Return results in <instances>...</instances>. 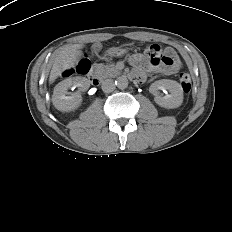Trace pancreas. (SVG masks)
I'll return each instance as SVG.
<instances>
[{"instance_id":"cf45deb5","label":"pancreas","mask_w":232,"mask_h":232,"mask_svg":"<svg viewBox=\"0 0 232 232\" xmlns=\"http://www.w3.org/2000/svg\"><path fill=\"white\" fill-rule=\"evenodd\" d=\"M96 71L98 75L102 78L107 77H116L120 74V71L116 68L114 64L104 65V64H97Z\"/></svg>"}]
</instances>
